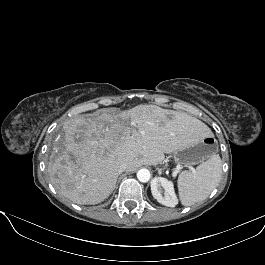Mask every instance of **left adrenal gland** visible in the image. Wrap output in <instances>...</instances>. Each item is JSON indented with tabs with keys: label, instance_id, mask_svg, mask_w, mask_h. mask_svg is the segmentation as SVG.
I'll return each mask as SVG.
<instances>
[{
	"label": "left adrenal gland",
	"instance_id": "left-adrenal-gland-1",
	"mask_svg": "<svg viewBox=\"0 0 265 265\" xmlns=\"http://www.w3.org/2000/svg\"><path fill=\"white\" fill-rule=\"evenodd\" d=\"M162 169H158L159 174H161Z\"/></svg>",
	"mask_w": 265,
	"mask_h": 265
}]
</instances>
